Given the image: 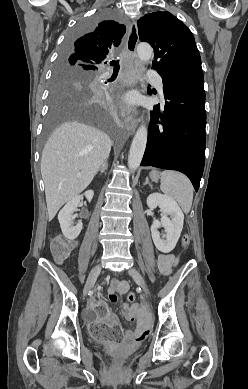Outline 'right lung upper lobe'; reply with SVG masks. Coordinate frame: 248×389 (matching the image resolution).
<instances>
[{
    "label": "right lung upper lobe",
    "instance_id": "obj_1",
    "mask_svg": "<svg viewBox=\"0 0 248 389\" xmlns=\"http://www.w3.org/2000/svg\"><path fill=\"white\" fill-rule=\"evenodd\" d=\"M126 32L125 25L113 20L100 22L94 30L69 46L63 64L69 68H89L95 72L111 49L118 47Z\"/></svg>",
    "mask_w": 248,
    "mask_h": 389
}]
</instances>
